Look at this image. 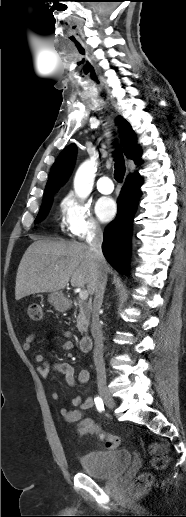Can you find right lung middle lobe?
<instances>
[{
    "label": "right lung middle lobe",
    "mask_w": 186,
    "mask_h": 517,
    "mask_svg": "<svg viewBox=\"0 0 186 517\" xmlns=\"http://www.w3.org/2000/svg\"><path fill=\"white\" fill-rule=\"evenodd\" d=\"M55 193L56 192H52V193H49L48 195H46L45 197H43L42 206L34 221L35 223H38L45 218V216L47 215V213L51 207L52 199H53Z\"/></svg>",
    "instance_id": "obj_1"
}]
</instances>
